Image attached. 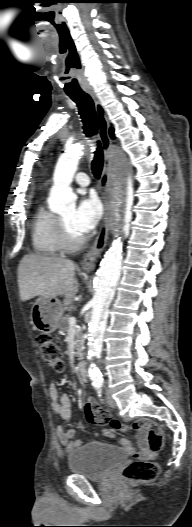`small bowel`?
I'll use <instances>...</instances> for the list:
<instances>
[{"instance_id": "1", "label": "small bowel", "mask_w": 192, "mask_h": 527, "mask_svg": "<svg viewBox=\"0 0 192 527\" xmlns=\"http://www.w3.org/2000/svg\"><path fill=\"white\" fill-rule=\"evenodd\" d=\"M49 396L52 400V408L54 412L63 420L70 419L72 415V404L69 396L66 394H60L54 383H51L49 386ZM136 429H139V426H136ZM138 431L140 436V445L142 448L139 453L135 452L131 443L126 439L120 440V445L123 446L129 452L128 458L130 460H135L137 457H140V463L145 464L148 461L147 457L153 455L154 451L149 449L147 445L145 431ZM56 432L60 443L67 450L71 451L80 447L83 444V441L81 439L75 438L76 430L73 428L65 430L61 425H59L56 429ZM102 434L106 438H112L114 435L113 431L108 428L103 429ZM150 461H153V458H150Z\"/></svg>"}]
</instances>
